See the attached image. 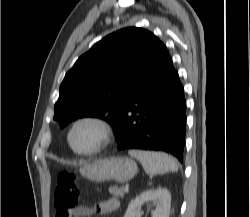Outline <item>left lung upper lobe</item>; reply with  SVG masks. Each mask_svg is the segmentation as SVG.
I'll list each match as a JSON object with an SVG mask.
<instances>
[{
	"mask_svg": "<svg viewBox=\"0 0 250 217\" xmlns=\"http://www.w3.org/2000/svg\"><path fill=\"white\" fill-rule=\"evenodd\" d=\"M162 44L148 30L136 27L97 42L65 75L54 120L63 128L78 118L98 117L116 133L133 89L152 67Z\"/></svg>",
	"mask_w": 250,
	"mask_h": 217,
	"instance_id": "5c2ea615",
	"label": "left lung upper lobe"
}]
</instances>
